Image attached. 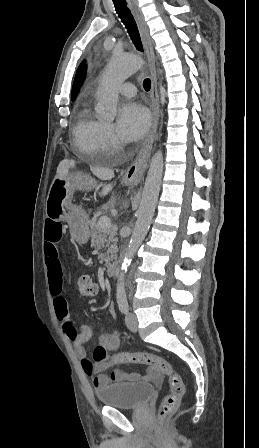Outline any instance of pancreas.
Returning <instances> with one entry per match:
<instances>
[{"label":"pancreas","mask_w":259,"mask_h":448,"mask_svg":"<svg viewBox=\"0 0 259 448\" xmlns=\"http://www.w3.org/2000/svg\"><path fill=\"white\" fill-rule=\"evenodd\" d=\"M89 224L92 232V244H95L98 250H101L106 244V248H108V252H110V256H107V258H104L103 254H100L99 256V260H101V262H106V266H109V262L117 260L118 248L116 246L117 238H115V236H117V230L116 228L101 230L97 220H91Z\"/></svg>","instance_id":"cf45deb5"}]
</instances>
